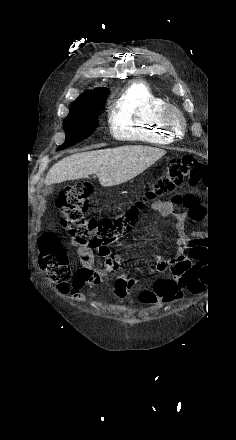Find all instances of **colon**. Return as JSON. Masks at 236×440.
I'll use <instances>...</instances> for the list:
<instances>
[{"instance_id":"colon-1","label":"colon","mask_w":236,"mask_h":440,"mask_svg":"<svg viewBox=\"0 0 236 440\" xmlns=\"http://www.w3.org/2000/svg\"><path fill=\"white\" fill-rule=\"evenodd\" d=\"M205 178L203 164L193 156L184 155L170 160L160 177L151 184L144 195L129 204L127 210L116 217L98 219L86 216L92 193V188L88 183L76 184L64 189L57 198L56 205L62 212L61 224L72 239L95 249L108 247L130 232L147 202L155 200L157 196L172 191L182 184L196 187L203 183ZM39 264L47 277L58 284L60 290H68L66 280L70 270L61 241L53 232L44 233L41 237ZM203 289V278L193 280L188 286L192 294H199ZM153 294L165 302H171L182 295L175 283L166 279L158 280L153 291L143 292L142 299L150 300Z\"/></svg>"}]
</instances>
